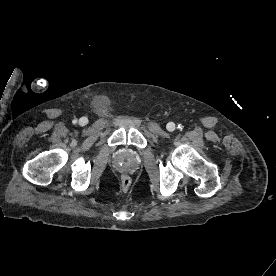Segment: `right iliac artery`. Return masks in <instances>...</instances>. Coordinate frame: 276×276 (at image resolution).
Here are the masks:
<instances>
[{
  "instance_id": "obj_1",
  "label": "right iliac artery",
  "mask_w": 276,
  "mask_h": 276,
  "mask_svg": "<svg viewBox=\"0 0 276 276\" xmlns=\"http://www.w3.org/2000/svg\"><path fill=\"white\" fill-rule=\"evenodd\" d=\"M72 123H73V124H76V123H77V119H74V120L72 121Z\"/></svg>"
}]
</instances>
